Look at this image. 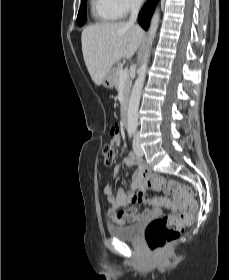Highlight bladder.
<instances>
[{"instance_id":"31cf9c89","label":"bladder","mask_w":229,"mask_h":280,"mask_svg":"<svg viewBox=\"0 0 229 280\" xmlns=\"http://www.w3.org/2000/svg\"><path fill=\"white\" fill-rule=\"evenodd\" d=\"M143 221L139 220L129 225H120L109 227V234L121 241H134L142 231Z\"/></svg>"}]
</instances>
